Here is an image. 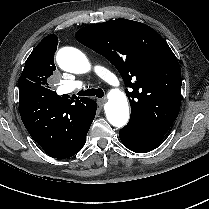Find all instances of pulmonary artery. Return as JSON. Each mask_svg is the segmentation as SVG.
<instances>
[{"mask_svg": "<svg viewBox=\"0 0 209 209\" xmlns=\"http://www.w3.org/2000/svg\"><path fill=\"white\" fill-rule=\"evenodd\" d=\"M92 69H93L94 74L98 78L103 80L111 88H114V89L120 88L118 77L111 71L107 70L104 66L99 65V64H94ZM60 84L62 85L63 92L65 93H69L72 90L76 88H80L82 86L81 81H76L74 84H69L67 82H63V83L60 82Z\"/></svg>", "mask_w": 209, "mask_h": 209, "instance_id": "1", "label": "pulmonary artery"}]
</instances>
